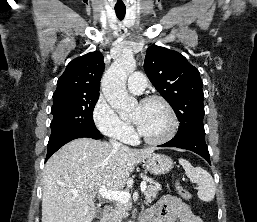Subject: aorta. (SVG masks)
Listing matches in <instances>:
<instances>
[{
    "mask_svg": "<svg viewBox=\"0 0 257 222\" xmlns=\"http://www.w3.org/2000/svg\"><path fill=\"white\" fill-rule=\"evenodd\" d=\"M136 68V61L132 52L124 51L105 72L101 87L102 92L110 106L121 116L133 111L137 100L130 96L126 90V80Z\"/></svg>",
    "mask_w": 257,
    "mask_h": 222,
    "instance_id": "obj_1",
    "label": "aorta"
}]
</instances>
